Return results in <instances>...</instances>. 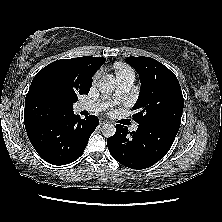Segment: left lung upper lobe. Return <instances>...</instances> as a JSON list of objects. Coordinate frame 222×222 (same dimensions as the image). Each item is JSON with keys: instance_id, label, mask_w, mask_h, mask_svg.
Instances as JSON below:
<instances>
[{"instance_id": "1", "label": "left lung upper lobe", "mask_w": 222, "mask_h": 222, "mask_svg": "<svg viewBox=\"0 0 222 222\" xmlns=\"http://www.w3.org/2000/svg\"><path fill=\"white\" fill-rule=\"evenodd\" d=\"M139 73L141 90L132 115L138 124L170 122L180 125L184 98L175 74L165 65L150 57H128Z\"/></svg>"}]
</instances>
